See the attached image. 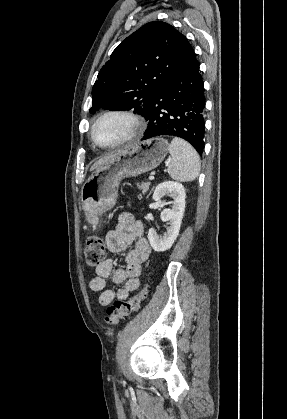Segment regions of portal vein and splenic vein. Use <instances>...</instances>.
Returning <instances> with one entry per match:
<instances>
[{"label": "portal vein and splenic vein", "instance_id": "1", "mask_svg": "<svg viewBox=\"0 0 287 419\" xmlns=\"http://www.w3.org/2000/svg\"><path fill=\"white\" fill-rule=\"evenodd\" d=\"M149 180H153L154 179V176H149V178H148Z\"/></svg>", "mask_w": 287, "mask_h": 419}]
</instances>
